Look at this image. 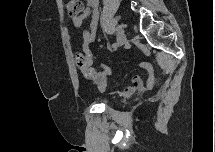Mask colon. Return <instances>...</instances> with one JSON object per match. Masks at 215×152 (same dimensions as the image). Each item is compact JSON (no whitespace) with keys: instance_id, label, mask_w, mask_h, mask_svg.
I'll return each mask as SVG.
<instances>
[{"instance_id":"1","label":"colon","mask_w":215,"mask_h":152,"mask_svg":"<svg viewBox=\"0 0 215 152\" xmlns=\"http://www.w3.org/2000/svg\"><path fill=\"white\" fill-rule=\"evenodd\" d=\"M66 9L70 16H77L81 12L82 4L78 0H68L66 1ZM92 58L90 52H84L83 54H79L77 57V63L79 67L85 71V75L91 76L93 75V70L90 68L88 64L89 60Z\"/></svg>"}]
</instances>
